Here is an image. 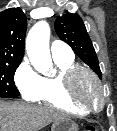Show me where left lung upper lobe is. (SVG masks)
I'll use <instances>...</instances> for the list:
<instances>
[{"label":"left lung upper lobe","instance_id":"left-lung-upper-lobe-1","mask_svg":"<svg viewBox=\"0 0 117 131\" xmlns=\"http://www.w3.org/2000/svg\"><path fill=\"white\" fill-rule=\"evenodd\" d=\"M55 30L59 38L69 44L77 56L101 78L97 55L80 16L67 13L58 17Z\"/></svg>","mask_w":117,"mask_h":131}]
</instances>
